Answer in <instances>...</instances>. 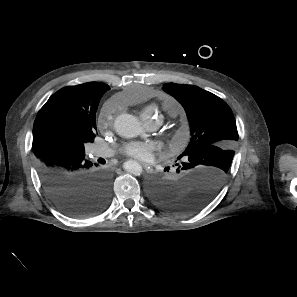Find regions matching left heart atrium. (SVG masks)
<instances>
[{"mask_svg": "<svg viewBox=\"0 0 297 297\" xmlns=\"http://www.w3.org/2000/svg\"><path fill=\"white\" fill-rule=\"evenodd\" d=\"M155 150L156 145L154 143L142 141L128 142L122 147L124 154L141 161L151 160Z\"/></svg>", "mask_w": 297, "mask_h": 297, "instance_id": "left-heart-atrium-1", "label": "left heart atrium"}]
</instances>
